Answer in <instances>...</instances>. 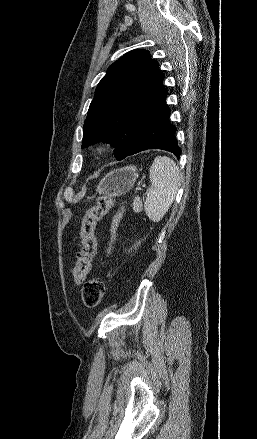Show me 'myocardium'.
<instances>
[{"instance_id": "obj_1", "label": "myocardium", "mask_w": 257, "mask_h": 439, "mask_svg": "<svg viewBox=\"0 0 257 439\" xmlns=\"http://www.w3.org/2000/svg\"><path fill=\"white\" fill-rule=\"evenodd\" d=\"M111 149V143L108 141H100L96 147H95V152L97 154H105L107 153L109 150Z\"/></svg>"}]
</instances>
